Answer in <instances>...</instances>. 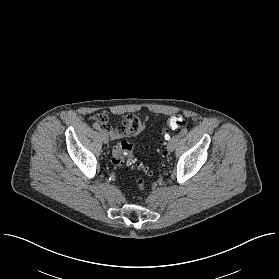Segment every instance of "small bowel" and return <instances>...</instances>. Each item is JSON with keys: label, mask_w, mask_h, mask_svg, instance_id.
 I'll return each instance as SVG.
<instances>
[{"label": "small bowel", "mask_w": 279, "mask_h": 279, "mask_svg": "<svg viewBox=\"0 0 279 279\" xmlns=\"http://www.w3.org/2000/svg\"><path fill=\"white\" fill-rule=\"evenodd\" d=\"M92 118L101 124V126L108 132L109 136L113 140L140 135L143 131V125L141 121L132 114L126 115L122 119L119 126H111L109 124V117L104 113L94 114Z\"/></svg>", "instance_id": "c3829d8e"}]
</instances>
